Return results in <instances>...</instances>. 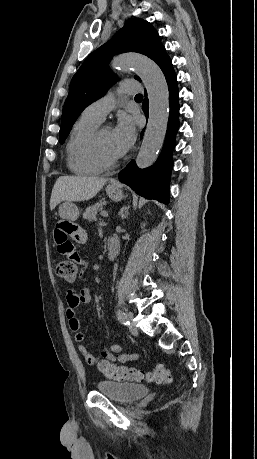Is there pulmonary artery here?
I'll list each match as a JSON object with an SVG mask.
<instances>
[{"mask_svg": "<svg viewBox=\"0 0 257 459\" xmlns=\"http://www.w3.org/2000/svg\"><path fill=\"white\" fill-rule=\"evenodd\" d=\"M134 80H125L121 83V85L117 88L116 93L118 94H134L137 92V88L133 87L132 84H135ZM115 106V93L109 92L102 98L96 100L95 102L91 103L86 109L84 110V114L92 117L99 122H102L105 116L108 114L110 110L113 109Z\"/></svg>", "mask_w": 257, "mask_h": 459, "instance_id": "1", "label": "pulmonary artery"}]
</instances>
